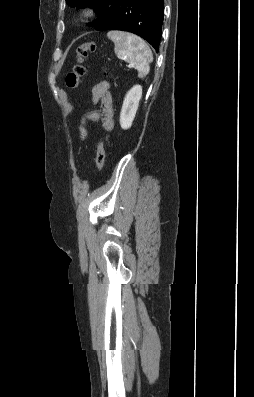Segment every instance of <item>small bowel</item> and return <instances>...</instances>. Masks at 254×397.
Segmentation results:
<instances>
[{
    "instance_id": "1",
    "label": "small bowel",
    "mask_w": 254,
    "mask_h": 397,
    "mask_svg": "<svg viewBox=\"0 0 254 397\" xmlns=\"http://www.w3.org/2000/svg\"><path fill=\"white\" fill-rule=\"evenodd\" d=\"M92 100L94 103L100 104L99 111L89 112L80 125V134L82 139H86L88 132L85 127L87 121L101 122L106 130L113 128V106L112 95L109 91V83L106 81L96 84L92 89Z\"/></svg>"
}]
</instances>
